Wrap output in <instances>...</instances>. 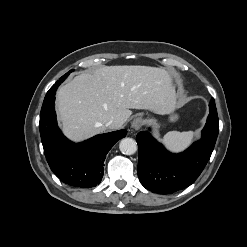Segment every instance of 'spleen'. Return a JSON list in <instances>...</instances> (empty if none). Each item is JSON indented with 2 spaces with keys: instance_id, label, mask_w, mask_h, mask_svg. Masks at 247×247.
Returning a JSON list of instances; mask_svg holds the SVG:
<instances>
[{
  "instance_id": "spleen-1",
  "label": "spleen",
  "mask_w": 247,
  "mask_h": 247,
  "mask_svg": "<svg viewBox=\"0 0 247 247\" xmlns=\"http://www.w3.org/2000/svg\"><path fill=\"white\" fill-rule=\"evenodd\" d=\"M193 138V131H170L162 138V142L169 150L173 152H181L191 144Z\"/></svg>"
}]
</instances>
